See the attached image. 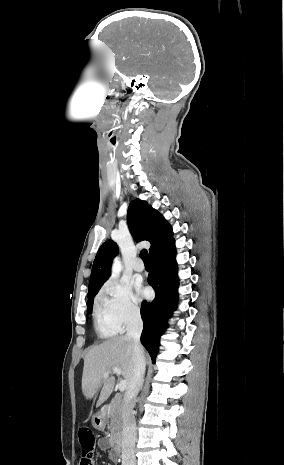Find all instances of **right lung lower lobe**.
<instances>
[{
    "label": "right lung lower lobe",
    "mask_w": 284,
    "mask_h": 465,
    "mask_svg": "<svg viewBox=\"0 0 284 465\" xmlns=\"http://www.w3.org/2000/svg\"><path fill=\"white\" fill-rule=\"evenodd\" d=\"M175 255L176 249L172 239L161 250L150 256L152 270L148 276V284L154 288L156 296L152 302L143 301L141 304V317L144 323L141 342L153 362L159 349L160 336L168 327L166 320L171 317L178 301Z\"/></svg>",
    "instance_id": "obj_1"
}]
</instances>
